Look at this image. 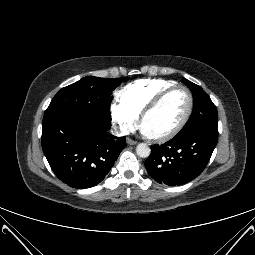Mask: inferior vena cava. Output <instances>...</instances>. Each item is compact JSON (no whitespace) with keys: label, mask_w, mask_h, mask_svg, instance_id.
I'll return each mask as SVG.
<instances>
[{"label":"inferior vena cava","mask_w":255,"mask_h":255,"mask_svg":"<svg viewBox=\"0 0 255 255\" xmlns=\"http://www.w3.org/2000/svg\"><path fill=\"white\" fill-rule=\"evenodd\" d=\"M114 133H115L116 135L122 136V135H126V134H127V131H126V130H123V129H116V128H115Z\"/></svg>","instance_id":"602c4592"}]
</instances>
